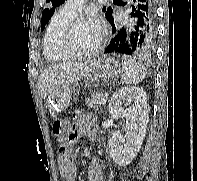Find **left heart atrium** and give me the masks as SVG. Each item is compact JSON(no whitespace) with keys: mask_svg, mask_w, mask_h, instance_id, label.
<instances>
[{"mask_svg":"<svg viewBox=\"0 0 197 181\" xmlns=\"http://www.w3.org/2000/svg\"><path fill=\"white\" fill-rule=\"evenodd\" d=\"M93 24L98 28L102 29V19L99 16H95L94 19L92 20Z\"/></svg>","mask_w":197,"mask_h":181,"instance_id":"39dd6f15","label":"left heart atrium"}]
</instances>
